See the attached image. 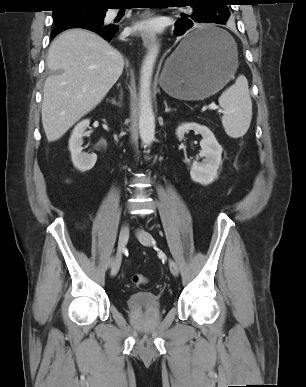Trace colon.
<instances>
[{
  "label": "colon",
  "instance_id": "obj_1",
  "mask_svg": "<svg viewBox=\"0 0 306 387\" xmlns=\"http://www.w3.org/2000/svg\"><path fill=\"white\" fill-rule=\"evenodd\" d=\"M132 282L136 286H142L147 283V277L143 274H134L132 276Z\"/></svg>",
  "mask_w": 306,
  "mask_h": 387
}]
</instances>
